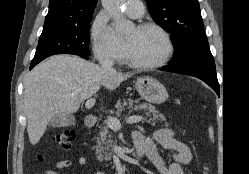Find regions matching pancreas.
<instances>
[{"instance_id":"obj_1","label":"pancreas","mask_w":249,"mask_h":174,"mask_svg":"<svg viewBox=\"0 0 249 174\" xmlns=\"http://www.w3.org/2000/svg\"><path fill=\"white\" fill-rule=\"evenodd\" d=\"M136 103V105H134ZM123 105H128V109H144V110H150V112H147L146 115L150 117L149 122H152L153 124L157 123L158 121L162 122L165 121V117L163 114H160L158 111H156L151 105H148L146 103L143 104H138V101H132L128 100L124 101ZM122 106H120L117 109L116 114L119 115V113L122 110ZM168 126V124H165ZM100 132H99V137L96 139L97 145H96V155L97 159L99 161L106 160L109 161L111 160L112 156V149H109V147H112V135L109 132V126L107 121L103 123L100 127Z\"/></svg>"}]
</instances>
